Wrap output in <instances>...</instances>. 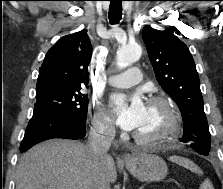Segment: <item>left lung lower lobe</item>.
I'll use <instances>...</instances> for the list:
<instances>
[{
	"instance_id": "0a47b994",
	"label": "left lung lower lobe",
	"mask_w": 223,
	"mask_h": 189,
	"mask_svg": "<svg viewBox=\"0 0 223 189\" xmlns=\"http://www.w3.org/2000/svg\"><path fill=\"white\" fill-rule=\"evenodd\" d=\"M199 153V152H198ZM199 154H201V155H204V156H207L208 154H203V153H199Z\"/></svg>"
}]
</instances>
